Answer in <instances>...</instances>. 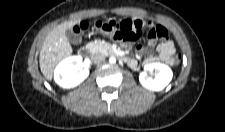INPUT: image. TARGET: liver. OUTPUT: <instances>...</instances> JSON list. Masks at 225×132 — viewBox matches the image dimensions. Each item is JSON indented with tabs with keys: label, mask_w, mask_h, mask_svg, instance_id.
<instances>
[{
	"label": "liver",
	"mask_w": 225,
	"mask_h": 132,
	"mask_svg": "<svg viewBox=\"0 0 225 132\" xmlns=\"http://www.w3.org/2000/svg\"><path fill=\"white\" fill-rule=\"evenodd\" d=\"M80 21L81 18L64 22L53 29L45 38L40 51L39 62L41 72L47 80H52L57 63L72 54V47L66 32Z\"/></svg>",
	"instance_id": "6515ba94"
}]
</instances>
